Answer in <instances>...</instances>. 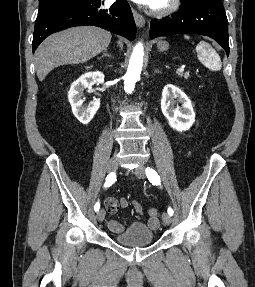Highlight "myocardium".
Returning a JSON list of instances; mask_svg holds the SVG:
<instances>
[{"label":"myocardium","instance_id":"obj_1","mask_svg":"<svg viewBox=\"0 0 255 287\" xmlns=\"http://www.w3.org/2000/svg\"><path fill=\"white\" fill-rule=\"evenodd\" d=\"M146 33H149V32H146ZM141 39H144V38H141ZM160 39H167V38H160ZM120 48H122V47H120ZM166 48H170V47H166Z\"/></svg>","mask_w":255,"mask_h":287}]
</instances>
